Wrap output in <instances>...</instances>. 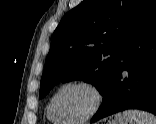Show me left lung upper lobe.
Listing matches in <instances>:
<instances>
[{"mask_svg":"<svg viewBox=\"0 0 156 124\" xmlns=\"http://www.w3.org/2000/svg\"><path fill=\"white\" fill-rule=\"evenodd\" d=\"M156 0H83L51 38L39 98L60 81L82 79L104 94L124 47Z\"/></svg>","mask_w":156,"mask_h":124,"instance_id":"1","label":"left lung upper lobe"}]
</instances>
